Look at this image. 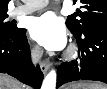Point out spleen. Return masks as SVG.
<instances>
[{"label": "spleen", "instance_id": "obj_1", "mask_svg": "<svg viewBox=\"0 0 107 89\" xmlns=\"http://www.w3.org/2000/svg\"><path fill=\"white\" fill-rule=\"evenodd\" d=\"M84 89H106L104 84H95V85H81Z\"/></svg>", "mask_w": 107, "mask_h": 89}]
</instances>
